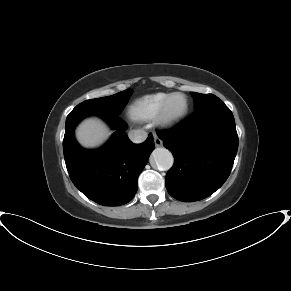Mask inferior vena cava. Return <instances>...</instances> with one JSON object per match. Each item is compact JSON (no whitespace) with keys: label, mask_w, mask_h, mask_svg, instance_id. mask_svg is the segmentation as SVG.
<instances>
[{"label":"inferior vena cava","mask_w":291,"mask_h":291,"mask_svg":"<svg viewBox=\"0 0 291 291\" xmlns=\"http://www.w3.org/2000/svg\"><path fill=\"white\" fill-rule=\"evenodd\" d=\"M147 135V132L143 129L131 130L128 133V137L133 143H142L147 138Z\"/></svg>","instance_id":"602c4592"}]
</instances>
